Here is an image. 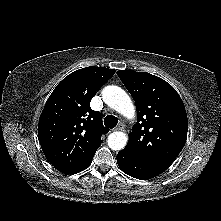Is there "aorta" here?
<instances>
[{"mask_svg": "<svg viewBox=\"0 0 221 221\" xmlns=\"http://www.w3.org/2000/svg\"><path fill=\"white\" fill-rule=\"evenodd\" d=\"M103 101L112 109L128 119L136 115L135 107L129 95L118 86H107L102 91ZM108 146L115 151L122 150L127 142L128 135L124 132H113L108 136Z\"/></svg>", "mask_w": 221, "mask_h": 221, "instance_id": "762f6f07", "label": "aorta"}]
</instances>
